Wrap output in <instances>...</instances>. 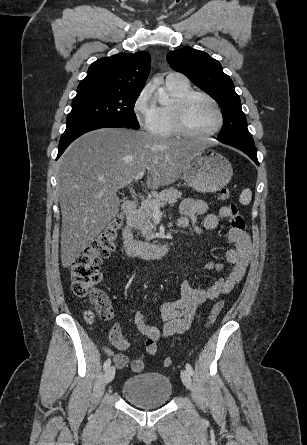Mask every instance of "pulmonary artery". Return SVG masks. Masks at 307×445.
<instances>
[{
	"label": "pulmonary artery",
	"mask_w": 307,
	"mask_h": 445,
	"mask_svg": "<svg viewBox=\"0 0 307 445\" xmlns=\"http://www.w3.org/2000/svg\"><path fill=\"white\" fill-rule=\"evenodd\" d=\"M168 77L170 80H179L181 78V73L179 71H170Z\"/></svg>",
	"instance_id": "pulmonary-artery-1"
}]
</instances>
